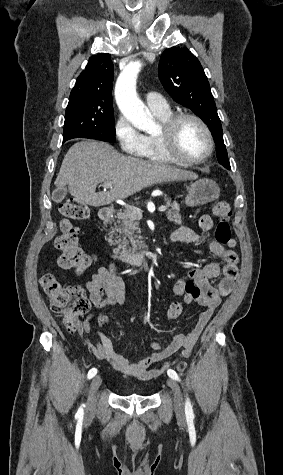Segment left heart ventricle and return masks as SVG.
<instances>
[{
	"mask_svg": "<svg viewBox=\"0 0 283 475\" xmlns=\"http://www.w3.org/2000/svg\"><path fill=\"white\" fill-rule=\"evenodd\" d=\"M205 132L195 120L184 119L177 128L174 144L165 145L171 157L195 158L207 151Z\"/></svg>",
	"mask_w": 283,
	"mask_h": 475,
	"instance_id": "1",
	"label": "left heart ventricle"
}]
</instances>
